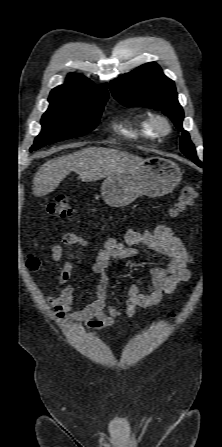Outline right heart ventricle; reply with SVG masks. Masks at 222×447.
Here are the masks:
<instances>
[{
    "instance_id": "right-heart-ventricle-1",
    "label": "right heart ventricle",
    "mask_w": 222,
    "mask_h": 447,
    "mask_svg": "<svg viewBox=\"0 0 222 447\" xmlns=\"http://www.w3.org/2000/svg\"><path fill=\"white\" fill-rule=\"evenodd\" d=\"M118 131L126 137L138 139H154L156 134L149 125V119L142 115L131 117L125 123L117 126Z\"/></svg>"
}]
</instances>
